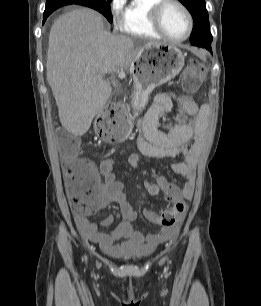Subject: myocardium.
<instances>
[{"instance_id":"obj_1","label":"myocardium","mask_w":261,"mask_h":306,"mask_svg":"<svg viewBox=\"0 0 261 306\" xmlns=\"http://www.w3.org/2000/svg\"><path fill=\"white\" fill-rule=\"evenodd\" d=\"M168 5H175L177 7H179L183 13L186 16L187 19V24H188V28H187V32L186 34L181 37V38H174L171 37L164 29L162 23H161V15L162 12L164 10V8ZM150 21L151 24L153 26V28L166 40L173 42V43H181L185 40H187L193 30V18L192 15L189 11V9L186 7V5L184 3H182L179 0H159L155 5H153V7L151 8L150 11Z\"/></svg>"}]
</instances>
